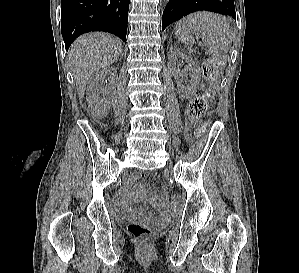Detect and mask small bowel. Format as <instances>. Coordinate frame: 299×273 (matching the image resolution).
Returning a JSON list of instances; mask_svg holds the SVG:
<instances>
[{
	"label": "small bowel",
	"instance_id": "small-bowel-1",
	"mask_svg": "<svg viewBox=\"0 0 299 273\" xmlns=\"http://www.w3.org/2000/svg\"><path fill=\"white\" fill-rule=\"evenodd\" d=\"M138 198L145 199L154 206L156 210V219L166 220L170 217L166 193H164L161 196H158L152 192H148L145 190H141L140 193H138L137 195L126 194L123 197L120 209L126 217H149L145 209H133L131 207L132 202Z\"/></svg>",
	"mask_w": 299,
	"mask_h": 273
}]
</instances>
